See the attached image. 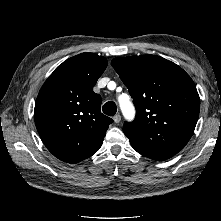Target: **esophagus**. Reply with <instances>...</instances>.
Masks as SVG:
<instances>
[{
  "instance_id": "34e87169",
  "label": "esophagus",
  "mask_w": 221,
  "mask_h": 221,
  "mask_svg": "<svg viewBox=\"0 0 221 221\" xmlns=\"http://www.w3.org/2000/svg\"><path fill=\"white\" fill-rule=\"evenodd\" d=\"M113 120L116 124H118L121 121V115L120 114L115 115Z\"/></svg>"
}]
</instances>
